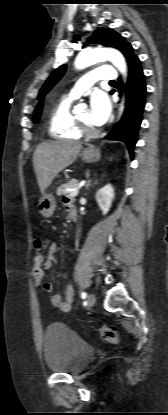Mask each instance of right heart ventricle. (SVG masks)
I'll list each match as a JSON object with an SVG mask.
<instances>
[{
  "instance_id": "right-heart-ventricle-1",
  "label": "right heart ventricle",
  "mask_w": 168,
  "mask_h": 415,
  "mask_svg": "<svg viewBox=\"0 0 168 415\" xmlns=\"http://www.w3.org/2000/svg\"><path fill=\"white\" fill-rule=\"evenodd\" d=\"M72 102L73 98L64 97L52 109L49 119V134L55 139L77 140L82 135L71 111Z\"/></svg>"
}]
</instances>
